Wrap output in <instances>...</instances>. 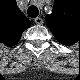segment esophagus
Returning <instances> with one entry per match:
<instances>
[{
	"instance_id": "34e87169",
	"label": "esophagus",
	"mask_w": 80,
	"mask_h": 80,
	"mask_svg": "<svg viewBox=\"0 0 80 80\" xmlns=\"http://www.w3.org/2000/svg\"><path fill=\"white\" fill-rule=\"evenodd\" d=\"M34 21L36 24H42L43 23V20L40 17L35 18Z\"/></svg>"
}]
</instances>
